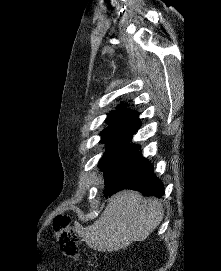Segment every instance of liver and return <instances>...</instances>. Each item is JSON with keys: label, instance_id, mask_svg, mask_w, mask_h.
Listing matches in <instances>:
<instances>
[{"label": "liver", "instance_id": "6515ba94", "mask_svg": "<svg viewBox=\"0 0 221 271\" xmlns=\"http://www.w3.org/2000/svg\"><path fill=\"white\" fill-rule=\"evenodd\" d=\"M163 215V205L156 197L143 199L139 191L124 189L113 195L94 223L78 227L77 233L92 249L116 251L132 241H144Z\"/></svg>", "mask_w": 221, "mask_h": 271}]
</instances>
